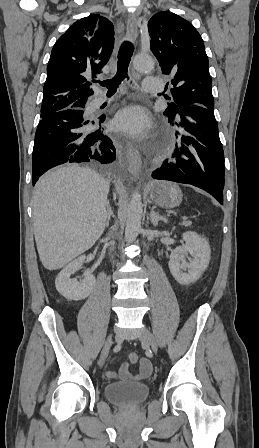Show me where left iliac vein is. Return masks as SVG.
Masks as SVG:
<instances>
[{"mask_svg": "<svg viewBox=\"0 0 259 448\" xmlns=\"http://www.w3.org/2000/svg\"><path fill=\"white\" fill-rule=\"evenodd\" d=\"M140 340L143 343L148 344L154 353H157L156 339H155L154 335L147 328H143L141 335H140Z\"/></svg>", "mask_w": 259, "mask_h": 448, "instance_id": "left-iliac-vein-1", "label": "left iliac vein"}]
</instances>
